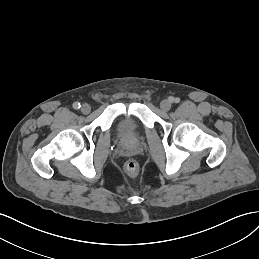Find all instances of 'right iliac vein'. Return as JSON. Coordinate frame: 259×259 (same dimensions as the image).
Masks as SVG:
<instances>
[{"mask_svg": "<svg viewBox=\"0 0 259 259\" xmlns=\"http://www.w3.org/2000/svg\"><path fill=\"white\" fill-rule=\"evenodd\" d=\"M90 111H91V107H90L89 104L85 103V104L82 105L81 112L83 114H88Z\"/></svg>", "mask_w": 259, "mask_h": 259, "instance_id": "63e3f726", "label": "right iliac vein"}]
</instances>
